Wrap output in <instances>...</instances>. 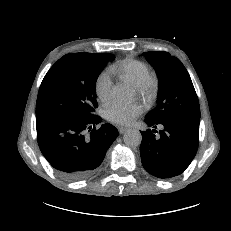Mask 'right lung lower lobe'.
Returning a JSON list of instances; mask_svg holds the SVG:
<instances>
[{
	"instance_id": "98d812e1",
	"label": "right lung lower lobe",
	"mask_w": 231,
	"mask_h": 231,
	"mask_svg": "<svg viewBox=\"0 0 231 231\" xmlns=\"http://www.w3.org/2000/svg\"><path fill=\"white\" fill-rule=\"evenodd\" d=\"M100 122L101 117L97 115L88 120L36 116L40 150L62 177L81 180L98 170L118 136L117 129L111 124H104L96 130L94 126Z\"/></svg>"
}]
</instances>
